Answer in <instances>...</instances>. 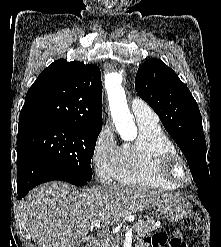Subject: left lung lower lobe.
Instances as JSON below:
<instances>
[{"mask_svg": "<svg viewBox=\"0 0 221 247\" xmlns=\"http://www.w3.org/2000/svg\"><path fill=\"white\" fill-rule=\"evenodd\" d=\"M198 197L201 200L202 204L208 210L211 201V190L210 189H199Z\"/></svg>", "mask_w": 221, "mask_h": 247, "instance_id": "0a47b994", "label": "left lung lower lobe"}]
</instances>
